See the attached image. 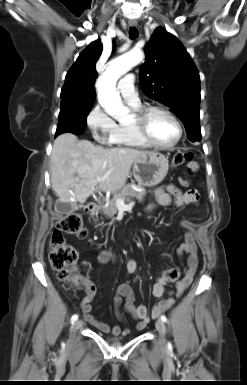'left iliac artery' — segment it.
Wrapping results in <instances>:
<instances>
[{
	"mask_svg": "<svg viewBox=\"0 0 247 385\" xmlns=\"http://www.w3.org/2000/svg\"><path fill=\"white\" fill-rule=\"evenodd\" d=\"M161 320L163 321V322H167V318H166V316L165 315H161Z\"/></svg>",
	"mask_w": 247,
	"mask_h": 385,
	"instance_id": "obj_1",
	"label": "left iliac artery"
}]
</instances>
